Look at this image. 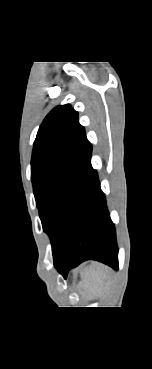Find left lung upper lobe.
Returning a JSON list of instances; mask_svg holds the SVG:
<instances>
[{"mask_svg":"<svg viewBox=\"0 0 152 369\" xmlns=\"http://www.w3.org/2000/svg\"><path fill=\"white\" fill-rule=\"evenodd\" d=\"M91 152L92 146L78 122V113L69 104L57 106L45 117L34 142L31 179L54 259L59 253Z\"/></svg>","mask_w":152,"mask_h":369,"instance_id":"obj_1","label":"left lung upper lobe"}]
</instances>
